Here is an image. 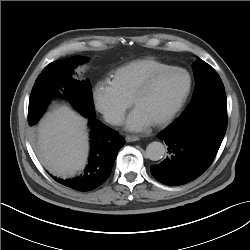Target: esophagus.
<instances>
[{"label": "esophagus", "instance_id": "obj_1", "mask_svg": "<svg viewBox=\"0 0 250 250\" xmlns=\"http://www.w3.org/2000/svg\"><path fill=\"white\" fill-rule=\"evenodd\" d=\"M125 140L127 142H135V141H138L139 140V137L138 136H134V135H127L125 137Z\"/></svg>", "mask_w": 250, "mask_h": 250}]
</instances>
